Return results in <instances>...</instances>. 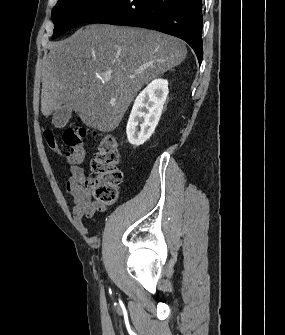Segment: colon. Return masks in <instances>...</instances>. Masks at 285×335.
<instances>
[{
  "mask_svg": "<svg viewBox=\"0 0 285 335\" xmlns=\"http://www.w3.org/2000/svg\"><path fill=\"white\" fill-rule=\"evenodd\" d=\"M90 133L83 126L68 128L63 133V141L68 150L63 154L66 161L73 165H80L85 157L84 139ZM97 135V133H94ZM44 138L48 147L61 154V148L56 135L51 130L44 131ZM120 147L111 135H101L98 149L91 161L93 175L89 178L92 195L102 204H113L117 197L123 175L118 167Z\"/></svg>",
  "mask_w": 285,
  "mask_h": 335,
  "instance_id": "colon-1",
  "label": "colon"
}]
</instances>
